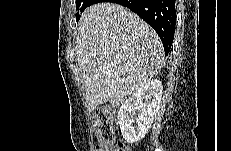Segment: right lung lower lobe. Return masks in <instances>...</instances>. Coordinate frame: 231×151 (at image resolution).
Listing matches in <instances>:
<instances>
[{"instance_id": "right-lung-lower-lobe-1", "label": "right lung lower lobe", "mask_w": 231, "mask_h": 151, "mask_svg": "<svg viewBox=\"0 0 231 151\" xmlns=\"http://www.w3.org/2000/svg\"><path fill=\"white\" fill-rule=\"evenodd\" d=\"M112 2L129 8L145 20L159 35L165 55L173 43L176 10L175 0H92L91 3Z\"/></svg>"}]
</instances>
